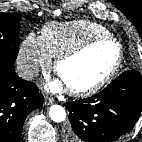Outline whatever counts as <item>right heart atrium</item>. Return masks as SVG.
Wrapping results in <instances>:
<instances>
[{"instance_id": "obj_1", "label": "right heart atrium", "mask_w": 142, "mask_h": 142, "mask_svg": "<svg viewBox=\"0 0 142 142\" xmlns=\"http://www.w3.org/2000/svg\"><path fill=\"white\" fill-rule=\"evenodd\" d=\"M52 58L45 49L40 37L29 34L20 44L17 64L25 79H32L40 70L50 68Z\"/></svg>"}]
</instances>
